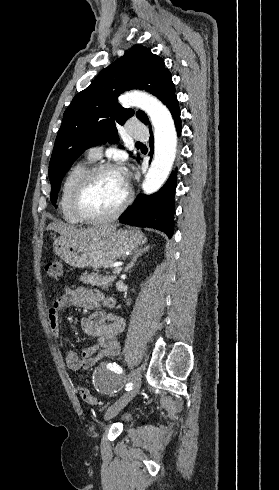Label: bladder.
I'll return each mask as SVG.
<instances>
[{
    "label": "bladder",
    "instance_id": "1",
    "mask_svg": "<svg viewBox=\"0 0 279 490\" xmlns=\"http://www.w3.org/2000/svg\"><path fill=\"white\" fill-rule=\"evenodd\" d=\"M122 420H124V422H126L127 421V418H123Z\"/></svg>",
    "mask_w": 279,
    "mask_h": 490
}]
</instances>
